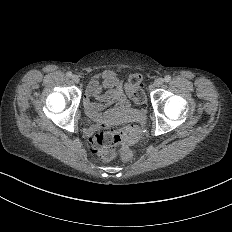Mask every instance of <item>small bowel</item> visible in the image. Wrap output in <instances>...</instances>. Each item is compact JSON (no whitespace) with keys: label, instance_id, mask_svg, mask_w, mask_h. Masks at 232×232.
Masks as SVG:
<instances>
[{"label":"small bowel","instance_id":"small-bowel-1","mask_svg":"<svg viewBox=\"0 0 232 232\" xmlns=\"http://www.w3.org/2000/svg\"><path fill=\"white\" fill-rule=\"evenodd\" d=\"M103 85L111 88L106 94L101 93ZM101 100H107L109 106L104 114L98 113L97 102ZM84 105L87 116L94 121L107 120L114 113L127 107V100L122 95L119 81L112 70L102 69L90 80L84 96Z\"/></svg>","mask_w":232,"mask_h":232}]
</instances>
